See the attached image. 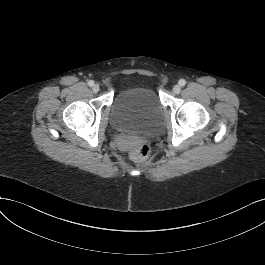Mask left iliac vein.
<instances>
[{
  "label": "left iliac vein",
  "instance_id": "1",
  "mask_svg": "<svg viewBox=\"0 0 265 265\" xmlns=\"http://www.w3.org/2000/svg\"><path fill=\"white\" fill-rule=\"evenodd\" d=\"M180 91H181V87H180L179 85H175V86L173 87V92H174L175 94L180 93Z\"/></svg>",
  "mask_w": 265,
  "mask_h": 265
}]
</instances>
